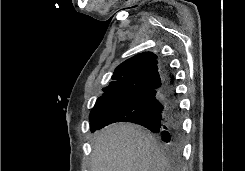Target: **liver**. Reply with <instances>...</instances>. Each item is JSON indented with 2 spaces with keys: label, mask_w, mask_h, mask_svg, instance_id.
Wrapping results in <instances>:
<instances>
[{
  "label": "liver",
  "mask_w": 245,
  "mask_h": 171,
  "mask_svg": "<svg viewBox=\"0 0 245 171\" xmlns=\"http://www.w3.org/2000/svg\"><path fill=\"white\" fill-rule=\"evenodd\" d=\"M90 171H174L153 135L130 123L113 124L93 142Z\"/></svg>",
  "instance_id": "1"
}]
</instances>
